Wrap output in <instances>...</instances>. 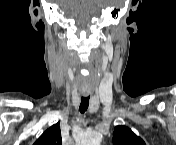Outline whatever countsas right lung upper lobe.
Listing matches in <instances>:
<instances>
[{
  "mask_svg": "<svg viewBox=\"0 0 176 145\" xmlns=\"http://www.w3.org/2000/svg\"><path fill=\"white\" fill-rule=\"evenodd\" d=\"M34 145H62L59 123L44 131Z\"/></svg>",
  "mask_w": 176,
  "mask_h": 145,
  "instance_id": "cb5924a9",
  "label": "right lung upper lobe"
}]
</instances>
